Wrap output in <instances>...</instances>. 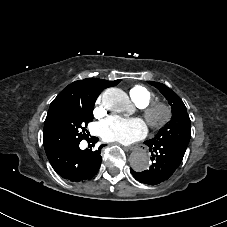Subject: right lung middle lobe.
<instances>
[{
	"label": "right lung middle lobe",
	"mask_w": 227,
	"mask_h": 227,
	"mask_svg": "<svg viewBox=\"0 0 227 227\" xmlns=\"http://www.w3.org/2000/svg\"><path fill=\"white\" fill-rule=\"evenodd\" d=\"M95 100H54L44 122L43 143L46 153L86 137L85 127L93 120Z\"/></svg>",
	"instance_id": "dd1d6c3e"
}]
</instances>
